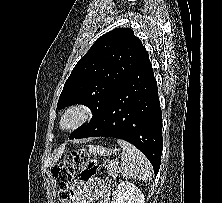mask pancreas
Masks as SVG:
<instances>
[{
	"label": "pancreas",
	"mask_w": 222,
	"mask_h": 203,
	"mask_svg": "<svg viewBox=\"0 0 222 203\" xmlns=\"http://www.w3.org/2000/svg\"><path fill=\"white\" fill-rule=\"evenodd\" d=\"M117 162H110L107 166L108 174L115 178L117 176Z\"/></svg>",
	"instance_id": "pancreas-1"
}]
</instances>
